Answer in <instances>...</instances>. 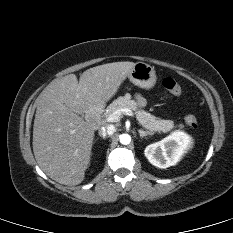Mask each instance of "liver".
Wrapping results in <instances>:
<instances>
[{
  "instance_id": "liver-1",
  "label": "liver",
  "mask_w": 233,
  "mask_h": 233,
  "mask_svg": "<svg viewBox=\"0 0 233 233\" xmlns=\"http://www.w3.org/2000/svg\"><path fill=\"white\" fill-rule=\"evenodd\" d=\"M135 63L113 62L69 74L47 86L37 99L33 152L51 179L78 185L89 166L95 128L80 115L109 101Z\"/></svg>"
}]
</instances>
